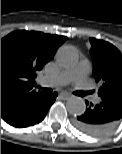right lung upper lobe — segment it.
Segmentation results:
<instances>
[{"label": "right lung upper lobe", "mask_w": 122, "mask_h": 154, "mask_svg": "<svg viewBox=\"0 0 122 154\" xmlns=\"http://www.w3.org/2000/svg\"><path fill=\"white\" fill-rule=\"evenodd\" d=\"M65 36L14 31L1 39V117L42 92L33 90L36 72L51 60Z\"/></svg>", "instance_id": "cb5924a9"}]
</instances>
